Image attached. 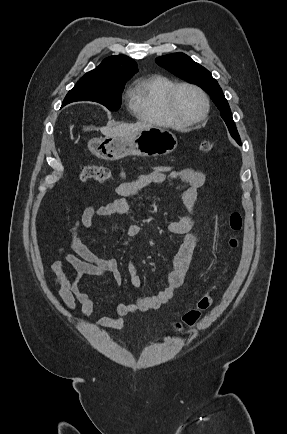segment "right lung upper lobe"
<instances>
[{
  "mask_svg": "<svg viewBox=\"0 0 287 434\" xmlns=\"http://www.w3.org/2000/svg\"><path fill=\"white\" fill-rule=\"evenodd\" d=\"M138 71L136 62L128 56H110L82 78L108 81H127Z\"/></svg>",
  "mask_w": 287,
  "mask_h": 434,
  "instance_id": "obj_1",
  "label": "right lung upper lobe"
}]
</instances>
